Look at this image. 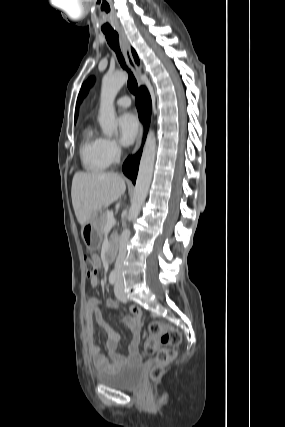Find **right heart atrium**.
Instances as JSON below:
<instances>
[{
  "label": "right heart atrium",
  "instance_id": "obj_1",
  "mask_svg": "<svg viewBox=\"0 0 285 427\" xmlns=\"http://www.w3.org/2000/svg\"><path fill=\"white\" fill-rule=\"evenodd\" d=\"M105 151L111 163L116 162L121 155V147L114 139H105Z\"/></svg>",
  "mask_w": 285,
  "mask_h": 427
}]
</instances>
